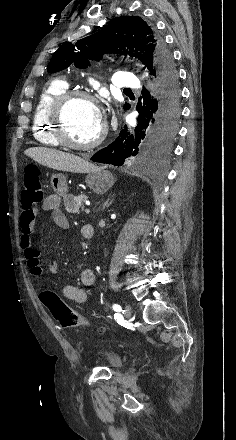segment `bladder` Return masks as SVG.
Wrapping results in <instances>:
<instances>
[{"label":"bladder","instance_id":"31cf9c89","mask_svg":"<svg viewBox=\"0 0 236 440\" xmlns=\"http://www.w3.org/2000/svg\"><path fill=\"white\" fill-rule=\"evenodd\" d=\"M106 365L110 369H118L121 366L122 360L118 354L113 351L105 350L102 353Z\"/></svg>","mask_w":236,"mask_h":440}]
</instances>
